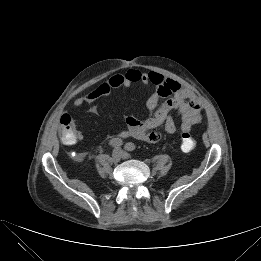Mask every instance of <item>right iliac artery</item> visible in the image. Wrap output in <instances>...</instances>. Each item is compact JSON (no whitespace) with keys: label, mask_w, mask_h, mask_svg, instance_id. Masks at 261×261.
I'll return each mask as SVG.
<instances>
[{"label":"right iliac artery","mask_w":261,"mask_h":261,"mask_svg":"<svg viewBox=\"0 0 261 261\" xmlns=\"http://www.w3.org/2000/svg\"><path fill=\"white\" fill-rule=\"evenodd\" d=\"M109 145L114 148H118L123 145V141L119 138H113L109 141Z\"/></svg>","instance_id":"right-iliac-artery-1"}]
</instances>
